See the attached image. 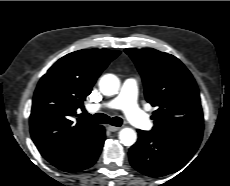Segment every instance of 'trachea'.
I'll return each mask as SVG.
<instances>
[{
    "label": "trachea",
    "instance_id": "3493384b",
    "mask_svg": "<svg viewBox=\"0 0 230 186\" xmlns=\"http://www.w3.org/2000/svg\"><path fill=\"white\" fill-rule=\"evenodd\" d=\"M82 117L90 120L93 123H98V124H111L113 126L119 127L122 125V119L120 117H113L110 118L109 116L103 114V113H96L94 115H91L84 111L82 113Z\"/></svg>",
    "mask_w": 230,
    "mask_h": 186
}]
</instances>
